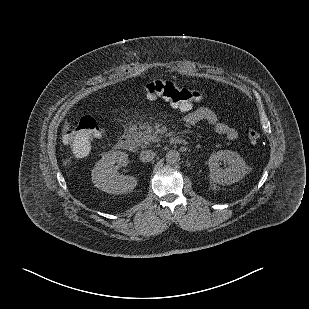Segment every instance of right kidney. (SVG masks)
<instances>
[{
	"label": "right kidney",
	"instance_id": "1",
	"mask_svg": "<svg viewBox=\"0 0 309 309\" xmlns=\"http://www.w3.org/2000/svg\"><path fill=\"white\" fill-rule=\"evenodd\" d=\"M126 159L122 152H113L101 160L93 170L92 181L94 185L107 193L127 194L137 186V178L121 176L116 173L119 165Z\"/></svg>",
	"mask_w": 309,
	"mask_h": 309
}]
</instances>
